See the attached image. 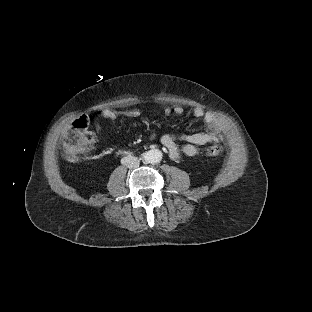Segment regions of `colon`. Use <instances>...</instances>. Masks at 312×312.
<instances>
[{"label":"colon","mask_w":312,"mask_h":312,"mask_svg":"<svg viewBox=\"0 0 312 312\" xmlns=\"http://www.w3.org/2000/svg\"><path fill=\"white\" fill-rule=\"evenodd\" d=\"M70 133L65 138L64 152L66 157L73 161L82 158V156L91 150L95 145L94 134L87 129L88 123L82 117L75 118L71 123ZM220 148L212 145L207 149L209 155H217Z\"/></svg>","instance_id":"1"}]
</instances>
